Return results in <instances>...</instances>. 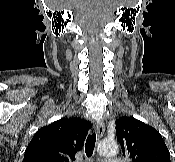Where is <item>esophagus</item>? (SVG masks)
Segmentation results:
<instances>
[{"label": "esophagus", "mask_w": 175, "mask_h": 162, "mask_svg": "<svg viewBox=\"0 0 175 162\" xmlns=\"http://www.w3.org/2000/svg\"><path fill=\"white\" fill-rule=\"evenodd\" d=\"M105 132V124L102 120H98L96 122V133L98 138H101L104 135Z\"/></svg>", "instance_id": "1"}]
</instances>
